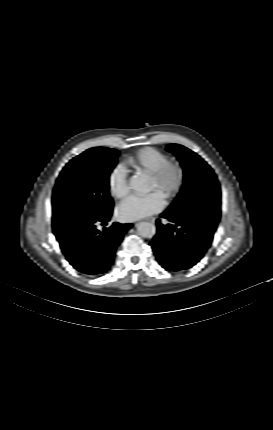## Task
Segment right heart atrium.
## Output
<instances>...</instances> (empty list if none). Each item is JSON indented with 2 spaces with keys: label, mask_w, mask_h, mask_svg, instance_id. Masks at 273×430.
<instances>
[{
  "label": "right heart atrium",
  "mask_w": 273,
  "mask_h": 430,
  "mask_svg": "<svg viewBox=\"0 0 273 430\" xmlns=\"http://www.w3.org/2000/svg\"><path fill=\"white\" fill-rule=\"evenodd\" d=\"M108 187L113 197L122 199L130 192L127 171L123 165H116L108 175Z\"/></svg>",
  "instance_id": "obj_1"
}]
</instances>
